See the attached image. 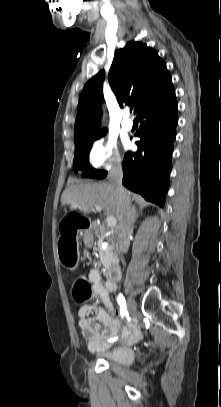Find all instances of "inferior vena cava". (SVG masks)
Instances as JSON below:
<instances>
[{"mask_svg":"<svg viewBox=\"0 0 221 407\" xmlns=\"http://www.w3.org/2000/svg\"><path fill=\"white\" fill-rule=\"evenodd\" d=\"M122 178V164L118 161L113 165V168L108 175V180L109 183L114 186L116 198L120 204L117 243L119 250L126 253L130 245V235L133 233V221L131 217L132 208L130 206L127 192L122 186Z\"/></svg>","mask_w":221,"mask_h":407,"instance_id":"602c4592","label":"inferior vena cava"}]
</instances>
